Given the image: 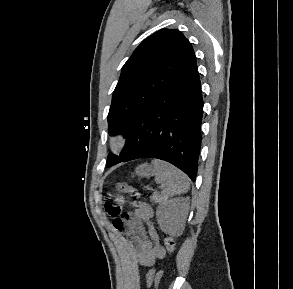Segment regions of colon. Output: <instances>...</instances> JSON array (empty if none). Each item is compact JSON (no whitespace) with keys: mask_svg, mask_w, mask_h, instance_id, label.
<instances>
[{"mask_svg":"<svg viewBox=\"0 0 293 289\" xmlns=\"http://www.w3.org/2000/svg\"><path fill=\"white\" fill-rule=\"evenodd\" d=\"M116 188L118 191H120L122 193H126V194L130 195L131 197L138 198L140 196L139 191L137 189H135L134 187L128 185L127 183H117ZM104 207H105L106 213L109 216L113 217L114 219H117L120 216L124 215L121 213V209H120V206L118 203L107 201L105 203ZM164 242H165V247H166V250L168 251V253L174 254L175 240L173 239V237L166 236ZM161 275H162L161 272L157 273L153 277L151 284L157 286L160 281Z\"/></svg>","mask_w":293,"mask_h":289,"instance_id":"colon-1","label":"colon"}]
</instances>
